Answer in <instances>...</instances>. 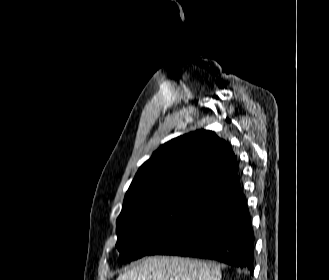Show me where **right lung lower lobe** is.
<instances>
[{
	"label": "right lung lower lobe",
	"instance_id": "right-lung-lower-lobe-1",
	"mask_svg": "<svg viewBox=\"0 0 329 280\" xmlns=\"http://www.w3.org/2000/svg\"><path fill=\"white\" fill-rule=\"evenodd\" d=\"M214 259L253 272L254 237L238 175L214 188L149 255Z\"/></svg>",
	"mask_w": 329,
	"mask_h": 280
}]
</instances>
